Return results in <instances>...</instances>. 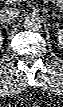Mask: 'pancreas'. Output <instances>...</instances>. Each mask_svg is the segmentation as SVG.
I'll return each mask as SVG.
<instances>
[{"mask_svg":"<svg viewBox=\"0 0 63 107\" xmlns=\"http://www.w3.org/2000/svg\"><path fill=\"white\" fill-rule=\"evenodd\" d=\"M51 2L54 5H56V6L60 7V8H62V6H63V1L62 0H51Z\"/></svg>","mask_w":63,"mask_h":107,"instance_id":"1","label":"pancreas"}]
</instances>
